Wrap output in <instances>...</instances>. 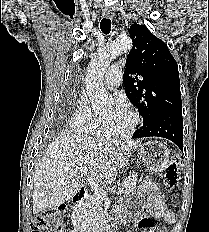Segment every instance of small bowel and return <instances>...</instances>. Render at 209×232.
I'll use <instances>...</instances> for the list:
<instances>
[{"label":"small bowel","instance_id":"1","mask_svg":"<svg viewBox=\"0 0 209 232\" xmlns=\"http://www.w3.org/2000/svg\"><path fill=\"white\" fill-rule=\"evenodd\" d=\"M138 198L146 200L148 212V216L141 221L142 232H165L164 229L155 226L154 221L161 220L171 223L174 220V216L168 210L157 184L149 180L142 182ZM124 209V206H118L114 211V217L116 219L121 218Z\"/></svg>","mask_w":209,"mask_h":232}]
</instances>
